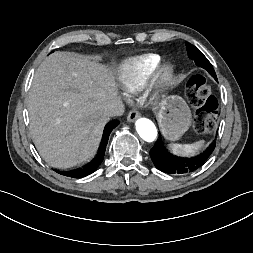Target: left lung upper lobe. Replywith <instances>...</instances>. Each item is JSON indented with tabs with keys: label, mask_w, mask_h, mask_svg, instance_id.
<instances>
[{
	"label": "left lung upper lobe",
	"mask_w": 253,
	"mask_h": 253,
	"mask_svg": "<svg viewBox=\"0 0 253 253\" xmlns=\"http://www.w3.org/2000/svg\"><path fill=\"white\" fill-rule=\"evenodd\" d=\"M186 48H187L189 58L195 60V62H197V61H201V62L208 61L207 58L192 44L186 42Z\"/></svg>",
	"instance_id": "left-lung-upper-lobe-1"
}]
</instances>
